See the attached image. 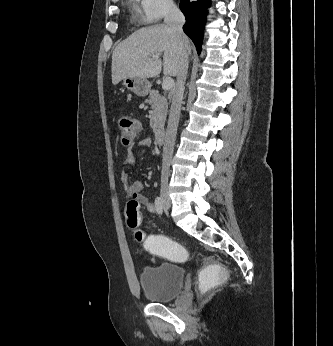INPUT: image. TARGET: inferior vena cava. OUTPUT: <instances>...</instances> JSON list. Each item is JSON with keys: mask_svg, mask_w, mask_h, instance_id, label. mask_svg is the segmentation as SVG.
Segmentation results:
<instances>
[{"mask_svg": "<svg viewBox=\"0 0 333 346\" xmlns=\"http://www.w3.org/2000/svg\"><path fill=\"white\" fill-rule=\"evenodd\" d=\"M164 23L168 28L173 31L179 38V45L181 49V56L178 65L177 81L172 91V102L170 114L165 134V142L163 147V160H162V179H167L169 175L170 163L173 155L174 144L176 140L178 122L180 117L181 102L184 94V85L186 74L188 70V53L185 47V35L182 26L185 23L183 13L175 6L169 5L164 17Z\"/></svg>", "mask_w": 333, "mask_h": 346, "instance_id": "obj_1", "label": "inferior vena cava"}]
</instances>
